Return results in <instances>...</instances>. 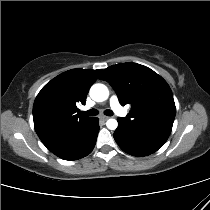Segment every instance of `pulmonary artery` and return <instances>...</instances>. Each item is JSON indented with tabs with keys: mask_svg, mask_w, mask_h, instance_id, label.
Wrapping results in <instances>:
<instances>
[{
	"mask_svg": "<svg viewBox=\"0 0 210 210\" xmlns=\"http://www.w3.org/2000/svg\"><path fill=\"white\" fill-rule=\"evenodd\" d=\"M110 106L112 110L119 116H126L127 111L120 105L117 97L113 96L110 99Z\"/></svg>",
	"mask_w": 210,
	"mask_h": 210,
	"instance_id": "e3ab8cb5",
	"label": "pulmonary artery"
}]
</instances>
